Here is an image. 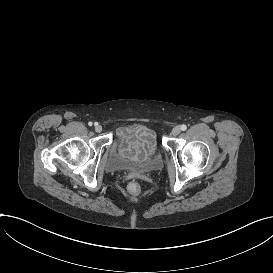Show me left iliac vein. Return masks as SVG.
<instances>
[{"instance_id": "obj_1", "label": "left iliac vein", "mask_w": 273, "mask_h": 273, "mask_svg": "<svg viewBox=\"0 0 273 273\" xmlns=\"http://www.w3.org/2000/svg\"><path fill=\"white\" fill-rule=\"evenodd\" d=\"M180 132H181V129H180V127H178V126H176V127H174V128L172 129V134H173L174 136H177L178 134H180Z\"/></svg>"}]
</instances>
